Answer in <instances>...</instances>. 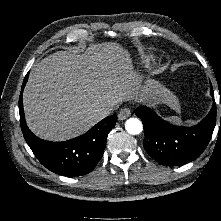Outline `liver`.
<instances>
[{
	"mask_svg": "<svg viewBox=\"0 0 221 221\" xmlns=\"http://www.w3.org/2000/svg\"><path fill=\"white\" fill-rule=\"evenodd\" d=\"M88 61L54 53L34 66L24 93L29 124L38 135L64 138L98 118L96 108L117 107L138 88L125 51L99 45Z\"/></svg>",
	"mask_w": 221,
	"mask_h": 221,
	"instance_id": "1",
	"label": "liver"
}]
</instances>
